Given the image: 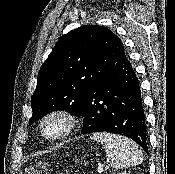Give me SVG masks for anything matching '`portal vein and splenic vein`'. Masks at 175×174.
I'll list each match as a JSON object with an SVG mask.
<instances>
[{
    "mask_svg": "<svg viewBox=\"0 0 175 174\" xmlns=\"http://www.w3.org/2000/svg\"><path fill=\"white\" fill-rule=\"evenodd\" d=\"M97 172H98V173H102V172H103V167H102V166H99V167L97 168Z\"/></svg>",
    "mask_w": 175,
    "mask_h": 174,
    "instance_id": "portal-vein-and-splenic-vein-1",
    "label": "portal vein and splenic vein"
}]
</instances>
